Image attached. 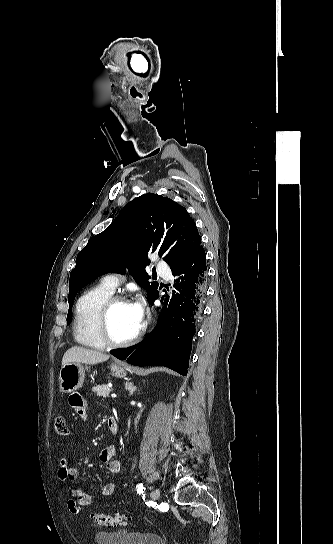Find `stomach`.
<instances>
[{
  "label": "stomach",
  "instance_id": "obj_1",
  "mask_svg": "<svg viewBox=\"0 0 333 544\" xmlns=\"http://www.w3.org/2000/svg\"><path fill=\"white\" fill-rule=\"evenodd\" d=\"M114 376L124 378L127 374L124 365H111ZM85 378V369L81 363L71 362L62 366L59 373V386L62 392L70 393L79 389Z\"/></svg>",
  "mask_w": 333,
  "mask_h": 544
}]
</instances>
